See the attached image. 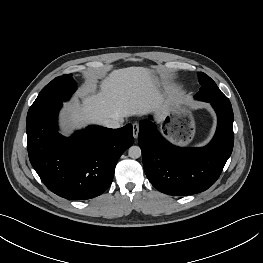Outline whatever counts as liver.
Listing matches in <instances>:
<instances>
[{"label": "liver", "mask_w": 263, "mask_h": 263, "mask_svg": "<svg viewBox=\"0 0 263 263\" xmlns=\"http://www.w3.org/2000/svg\"><path fill=\"white\" fill-rule=\"evenodd\" d=\"M174 97H165L157 78L144 67L113 70L100 82L90 78L81 92V103L68 105L63 118L66 129L88 123L103 124L107 119L155 114L164 119Z\"/></svg>", "instance_id": "liver-1"}]
</instances>
